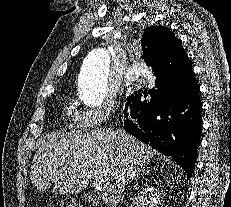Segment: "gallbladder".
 Masks as SVG:
<instances>
[{"mask_svg": "<svg viewBox=\"0 0 231 207\" xmlns=\"http://www.w3.org/2000/svg\"><path fill=\"white\" fill-rule=\"evenodd\" d=\"M85 199L91 204H98V198L94 197L93 195L89 194L85 196Z\"/></svg>", "mask_w": 231, "mask_h": 207, "instance_id": "bac80fb5", "label": "gallbladder"}]
</instances>
